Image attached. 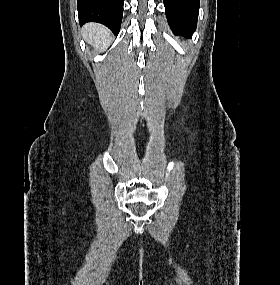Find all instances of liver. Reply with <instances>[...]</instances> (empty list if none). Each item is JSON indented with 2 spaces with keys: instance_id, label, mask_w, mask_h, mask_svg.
<instances>
[{
  "instance_id": "liver-1",
  "label": "liver",
  "mask_w": 280,
  "mask_h": 285,
  "mask_svg": "<svg viewBox=\"0 0 280 285\" xmlns=\"http://www.w3.org/2000/svg\"><path fill=\"white\" fill-rule=\"evenodd\" d=\"M83 33L86 41L100 50H104L112 40L111 32L103 25L96 23L86 24Z\"/></svg>"
}]
</instances>
